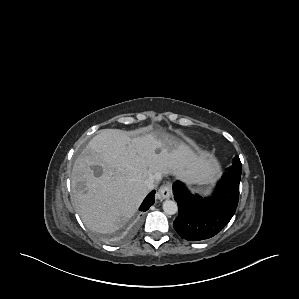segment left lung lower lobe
<instances>
[{"label":"left lung lower lobe","mask_w":299,"mask_h":299,"mask_svg":"<svg viewBox=\"0 0 299 299\" xmlns=\"http://www.w3.org/2000/svg\"><path fill=\"white\" fill-rule=\"evenodd\" d=\"M241 175L226 171L211 197L192 194L185 185L173 184L179 214L173 222L177 233L189 241L205 240L219 233L234 215L239 200Z\"/></svg>","instance_id":"left-lung-lower-lobe-1"}]
</instances>
